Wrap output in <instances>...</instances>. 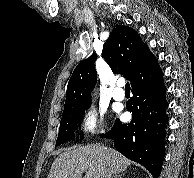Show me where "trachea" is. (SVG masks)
I'll use <instances>...</instances> for the list:
<instances>
[{
  "label": "trachea",
  "mask_w": 194,
  "mask_h": 178,
  "mask_svg": "<svg viewBox=\"0 0 194 178\" xmlns=\"http://www.w3.org/2000/svg\"><path fill=\"white\" fill-rule=\"evenodd\" d=\"M130 90H131L130 84H129V82H127L126 85H125V91L130 92Z\"/></svg>",
  "instance_id": "trachea-1"
}]
</instances>
